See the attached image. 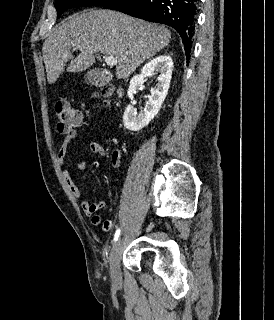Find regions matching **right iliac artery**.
<instances>
[{"instance_id":"obj_1","label":"right iliac artery","mask_w":274,"mask_h":320,"mask_svg":"<svg viewBox=\"0 0 274 320\" xmlns=\"http://www.w3.org/2000/svg\"><path fill=\"white\" fill-rule=\"evenodd\" d=\"M119 236H120V229H117L114 235V242L118 240Z\"/></svg>"}]
</instances>
